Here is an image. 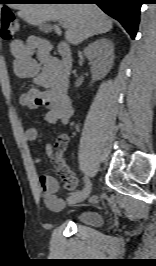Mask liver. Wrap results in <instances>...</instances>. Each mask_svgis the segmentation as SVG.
I'll list each match as a JSON object with an SVG mask.
<instances>
[{
  "label": "liver",
  "instance_id": "1",
  "mask_svg": "<svg viewBox=\"0 0 156 266\" xmlns=\"http://www.w3.org/2000/svg\"><path fill=\"white\" fill-rule=\"evenodd\" d=\"M18 16L31 25H41L47 21H64L67 25L65 38L78 45L85 39L109 32L112 20L96 5L92 4H13ZM56 34L61 35L55 25Z\"/></svg>",
  "mask_w": 156,
  "mask_h": 266
}]
</instances>
